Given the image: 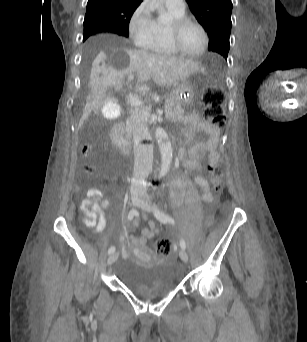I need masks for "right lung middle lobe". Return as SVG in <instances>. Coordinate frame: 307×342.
Masks as SVG:
<instances>
[{"label": "right lung middle lobe", "instance_id": "1", "mask_svg": "<svg viewBox=\"0 0 307 342\" xmlns=\"http://www.w3.org/2000/svg\"><path fill=\"white\" fill-rule=\"evenodd\" d=\"M105 31H110L118 35L128 37V31L111 30L107 28L106 26L102 25L95 16L85 15L83 41H85L89 36L95 33L105 32Z\"/></svg>", "mask_w": 307, "mask_h": 342}]
</instances>
